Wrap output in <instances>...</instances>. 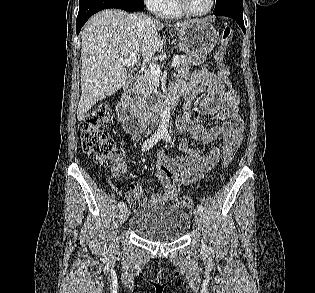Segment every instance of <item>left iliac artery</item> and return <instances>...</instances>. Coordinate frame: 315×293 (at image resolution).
I'll return each instance as SVG.
<instances>
[{
    "instance_id": "1",
    "label": "left iliac artery",
    "mask_w": 315,
    "mask_h": 293,
    "mask_svg": "<svg viewBox=\"0 0 315 293\" xmlns=\"http://www.w3.org/2000/svg\"><path fill=\"white\" fill-rule=\"evenodd\" d=\"M163 139L166 140L167 142H171V136L169 135L168 132L163 133ZM197 208L201 212H203L204 210V207L201 204L197 205Z\"/></svg>"
}]
</instances>
